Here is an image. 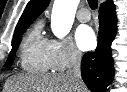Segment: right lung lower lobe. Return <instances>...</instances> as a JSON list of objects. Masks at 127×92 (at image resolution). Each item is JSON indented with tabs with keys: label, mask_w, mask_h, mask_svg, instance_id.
<instances>
[{
	"label": "right lung lower lobe",
	"mask_w": 127,
	"mask_h": 92,
	"mask_svg": "<svg viewBox=\"0 0 127 92\" xmlns=\"http://www.w3.org/2000/svg\"><path fill=\"white\" fill-rule=\"evenodd\" d=\"M113 3H102L99 9L98 46L86 53L81 62V75L92 92H105L114 75L111 43L117 31Z\"/></svg>",
	"instance_id": "right-lung-lower-lobe-1"
}]
</instances>
